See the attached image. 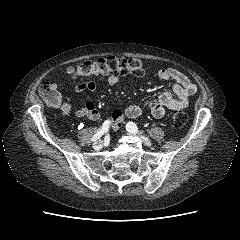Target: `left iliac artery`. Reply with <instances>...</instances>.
<instances>
[{
	"instance_id": "obj_1",
	"label": "left iliac artery",
	"mask_w": 240,
	"mask_h": 240,
	"mask_svg": "<svg viewBox=\"0 0 240 240\" xmlns=\"http://www.w3.org/2000/svg\"><path fill=\"white\" fill-rule=\"evenodd\" d=\"M126 130H127L128 132H131V133H134V134H136V133L139 132L138 127H137L136 124L133 123V122H128V123L126 124Z\"/></svg>"
}]
</instances>
